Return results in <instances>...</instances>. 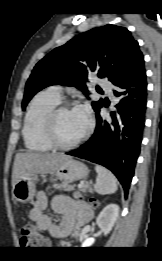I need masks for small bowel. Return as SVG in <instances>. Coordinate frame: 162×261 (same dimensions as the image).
<instances>
[{
	"instance_id": "c3829d8e",
	"label": "small bowel",
	"mask_w": 162,
	"mask_h": 261,
	"mask_svg": "<svg viewBox=\"0 0 162 261\" xmlns=\"http://www.w3.org/2000/svg\"><path fill=\"white\" fill-rule=\"evenodd\" d=\"M46 206V195L39 192L29 210V218L36 224L38 229H50L53 233H56L57 230L52 226L50 218L44 213ZM52 206L62 218L60 231L62 232L64 227L70 231L75 224L74 214L76 212L72 206V200L64 196H56L52 201Z\"/></svg>"
}]
</instances>
